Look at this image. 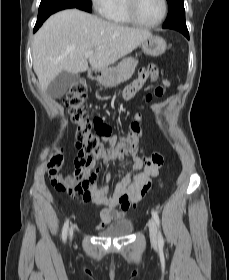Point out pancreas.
I'll list each match as a JSON object with an SVG mask.
<instances>
[{"instance_id": "cf45deb5", "label": "pancreas", "mask_w": 229, "mask_h": 280, "mask_svg": "<svg viewBox=\"0 0 229 280\" xmlns=\"http://www.w3.org/2000/svg\"><path fill=\"white\" fill-rule=\"evenodd\" d=\"M136 65L137 61L135 59L125 58L111 70L115 71L118 74L117 79L119 81H123L132 75Z\"/></svg>"}]
</instances>
